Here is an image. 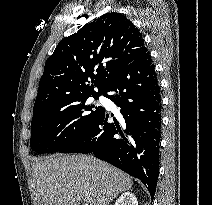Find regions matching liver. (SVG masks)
Returning <instances> with one entry per match:
<instances>
[{
  "label": "liver",
  "instance_id": "6515ba94",
  "mask_svg": "<svg viewBox=\"0 0 212 205\" xmlns=\"http://www.w3.org/2000/svg\"><path fill=\"white\" fill-rule=\"evenodd\" d=\"M38 205H109L133 181L123 171L86 155H57L32 166Z\"/></svg>",
  "mask_w": 212,
  "mask_h": 205
}]
</instances>
